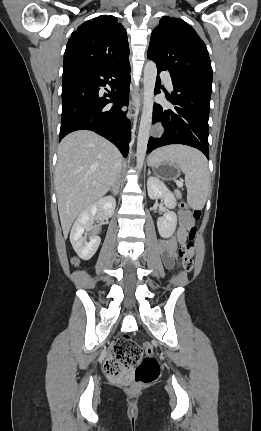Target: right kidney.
I'll return each mask as SVG.
<instances>
[{
	"label": "right kidney",
	"mask_w": 261,
	"mask_h": 431,
	"mask_svg": "<svg viewBox=\"0 0 261 431\" xmlns=\"http://www.w3.org/2000/svg\"><path fill=\"white\" fill-rule=\"evenodd\" d=\"M116 207V201L113 197L107 196L101 198L85 208L77 217L70 232V242L83 260H89L96 253L101 239L96 235L97 231L86 241L85 231L92 229V222L96 215L103 218H110Z\"/></svg>",
	"instance_id": "1"
}]
</instances>
